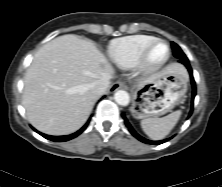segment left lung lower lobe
I'll return each mask as SVG.
<instances>
[{"mask_svg": "<svg viewBox=\"0 0 222 187\" xmlns=\"http://www.w3.org/2000/svg\"><path fill=\"white\" fill-rule=\"evenodd\" d=\"M179 62L184 64L186 66V68L188 69L189 71V74H190V78H191V84H192V106H193V101H194V97L196 95V85H195V81H194V78H193V74H192V68L189 64V60L188 59H179ZM193 112V108L191 107V110L189 112V115L188 117L191 116ZM122 117L124 119V122H125V125L127 126L128 130L130 131V133L135 137L137 138L139 141L143 142V143H146V144H152V145H159V144H162L166 141H168L169 139H165V140H160V141H151V140H147L145 138H143L142 136H140L134 129L133 127L130 125V123L128 122L125 114L123 113L122 114Z\"/></svg>", "mask_w": 222, "mask_h": 187, "instance_id": "1", "label": "left lung lower lobe"}]
</instances>
